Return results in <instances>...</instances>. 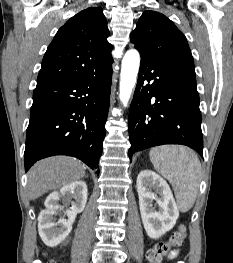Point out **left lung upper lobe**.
Returning a JSON list of instances; mask_svg holds the SVG:
<instances>
[{
	"instance_id": "1",
	"label": "left lung upper lobe",
	"mask_w": 233,
	"mask_h": 263,
	"mask_svg": "<svg viewBox=\"0 0 233 263\" xmlns=\"http://www.w3.org/2000/svg\"><path fill=\"white\" fill-rule=\"evenodd\" d=\"M130 37L141 58L194 68L186 37L161 13L145 11Z\"/></svg>"
}]
</instances>
